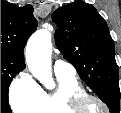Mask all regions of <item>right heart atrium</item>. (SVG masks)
<instances>
[{
  "mask_svg": "<svg viewBox=\"0 0 121 113\" xmlns=\"http://www.w3.org/2000/svg\"><path fill=\"white\" fill-rule=\"evenodd\" d=\"M39 92V86L35 80L25 72L19 73L9 87V101L13 109L21 105L32 104Z\"/></svg>",
  "mask_w": 121,
  "mask_h": 113,
  "instance_id": "obj_1",
  "label": "right heart atrium"
}]
</instances>
